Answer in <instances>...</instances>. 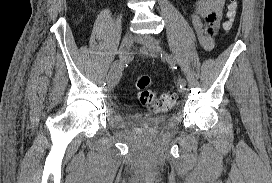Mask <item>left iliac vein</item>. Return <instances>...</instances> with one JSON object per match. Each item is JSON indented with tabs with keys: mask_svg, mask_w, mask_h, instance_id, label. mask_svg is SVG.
<instances>
[{
	"mask_svg": "<svg viewBox=\"0 0 272 183\" xmlns=\"http://www.w3.org/2000/svg\"><path fill=\"white\" fill-rule=\"evenodd\" d=\"M137 41L144 45L153 57H158L162 51L159 41L151 35L139 37L137 38ZM179 92L184 94L186 89H179Z\"/></svg>",
	"mask_w": 272,
	"mask_h": 183,
	"instance_id": "1",
	"label": "left iliac vein"
}]
</instances>
